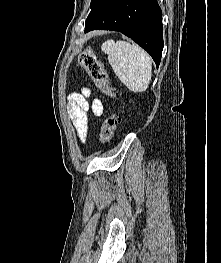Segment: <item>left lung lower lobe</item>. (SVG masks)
<instances>
[{
	"label": "left lung lower lobe",
	"instance_id": "0a47b994",
	"mask_svg": "<svg viewBox=\"0 0 221 263\" xmlns=\"http://www.w3.org/2000/svg\"><path fill=\"white\" fill-rule=\"evenodd\" d=\"M95 29L119 31L130 37L159 66L164 44L157 0H101L86 19L85 32Z\"/></svg>",
	"mask_w": 221,
	"mask_h": 263
}]
</instances>
